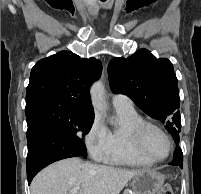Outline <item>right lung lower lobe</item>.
Returning <instances> with one entry per match:
<instances>
[{
  "instance_id": "obj_1",
  "label": "right lung lower lobe",
  "mask_w": 201,
  "mask_h": 194,
  "mask_svg": "<svg viewBox=\"0 0 201 194\" xmlns=\"http://www.w3.org/2000/svg\"><path fill=\"white\" fill-rule=\"evenodd\" d=\"M27 142L28 184L41 169L50 163L81 156L83 150L86 151L80 138L44 120H37L28 125Z\"/></svg>"
}]
</instances>
